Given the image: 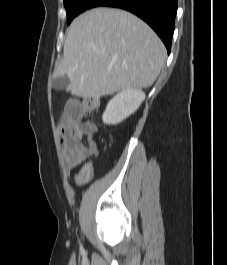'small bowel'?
<instances>
[{
  "label": "small bowel",
  "mask_w": 227,
  "mask_h": 265,
  "mask_svg": "<svg viewBox=\"0 0 227 265\" xmlns=\"http://www.w3.org/2000/svg\"><path fill=\"white\" fill-rule=\"evenodd\" d=\"M66 111H64V135L62 140L63 153L67 172L80 167L74 177V183L80 187L87 183L92 175L93 168L87 160L98 153L95 142L97 127L93 122H81L79 116L83 113V105L80 99H66ZM83 136L87 138V145L81 143Z\"/></svg>",
  "instance_id": "obj_1"
}]
</instances>
